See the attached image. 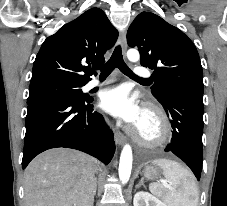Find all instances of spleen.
Listing matches in <instances>:
<instances>
[{
	"label": "spleen",
	"instance_id": "spleen-1",
	"mask_svg": "<svg viewBox=\"0 0 227 206\" xmlns=\"http://www.w3.org/2000/svg\"><path fill=\"white\" fill-rule=\"evenodd\" d=\"M153 164L163 169L169 184L153 183L152 193L157 195L166 206H198L199 192L191 173L181 164L169 159H157Z\"/></svg>",
	"mask_w": 227,
	"mask_h": 206
}]
</instances>
